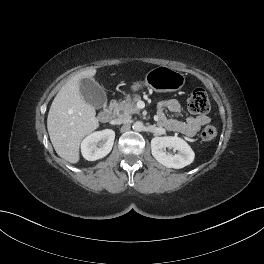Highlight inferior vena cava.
<instances>
[{
	"label": "inferior vena cava",
	"mask_w": 264,
	"mask_h": 264,
	"mask_svg": "<svg viewBox=\"0 0 264 264\" xmlns=\"http://www.w3.org/2000/svg\"><path fill=\"white\" fill-rule=\"evenodd\" d=\"M127 119H128L127 116H125V115H121V116H119L118 118L112 120L111 123H112V124H117V125H119V124L124 123Z\"/></svg>",
	"instance_id": "602c4592"
}]
</instances>
